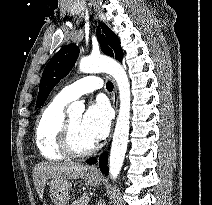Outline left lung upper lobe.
<instances>
[{
    "label": "left lung upper lobe",
    "mask_w": 212,
    "mask_h": 205,
    "mask_svg": "<svg viewBox=\"0 0 212 205\" xmlns=\"http://www.w3.org/2000/svg\"><path fill=\"white\" fill-rule=\"evenodd\" d=\"M97 38L104 54L122 61L123 51L120 41L106 24L102 23L98 26ZM78 55L79 48L74 44H69L50 59L42 74L36 107L44 104L54 86L71 71Z\"/></svg>",
    "instance_id": "1"
}]
</instances>
